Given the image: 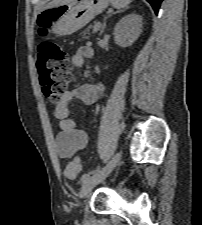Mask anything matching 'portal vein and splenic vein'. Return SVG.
<instances>
[{"mask_svg":"<svg viewBox=\"0 0 202 225\" xmlns=\"http://www.w3.org/2000/svg\"><path fill=\"white\" fill-rule=\"evenodd\" d=\"M100 26H101L100 22L96 23L94 28H93V33L97 32L99 30Z\"/></svg>","mask_w":202,"mask_h":225,"instance_id":"1","label":"portal vein and splenic vein"}]
</instances>
